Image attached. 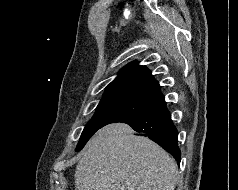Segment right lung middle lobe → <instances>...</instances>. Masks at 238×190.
Returning a JSON list of instances; mask_svg holds the SVG:
<instances>
[{
	"label": "right lung middle lobe",
	"mask_w": 238,
	"mask_h": 190,
	"mask_svg": "<svg viewBox=\"0 0 238 190\" xmlns=\"http://www.w3.org/2000/svg\"><path fill=\"white\" fill-rule=\"evenodd\" d=\"M154 104L133 97L119 96L103 98L97 106L96 112L85 126L76 151L81 150L92 135L103 126L124 122L134 118L153 107Z\"/></svg>",
	"instance_id": "dd1d6c3e"
}]
</instances>
